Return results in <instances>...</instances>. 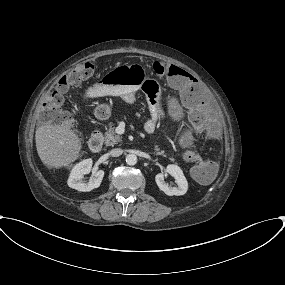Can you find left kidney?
<instances>
[{
	"label": "left kidney",
	"instance_id": "left-kidney-1",
	"mask_svg": "<svg viewBox=\"0 0 285 285\" xmlns=\"http://www.w3.org/2000/svg\"><path fill=\"white\" fill-rule=\"evenodd\" d=\"M167 174L174 177L175 182L178 185L177 187L168 186V184L164 180ZM155 181L159 189L169 196L184 195L188 189V182L183 174V171L177 165H168L165 173L162 172L156 175Z\"/></svg>",
	"mask_w": 285,
	"mask_h": 285
}]
</instances>
